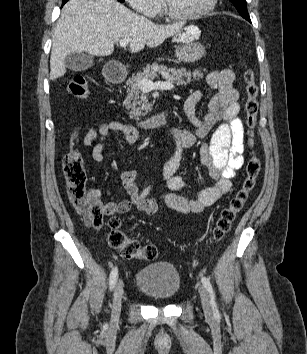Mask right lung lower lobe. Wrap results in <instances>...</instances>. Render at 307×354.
<instances>
[{"instance_id":"1","label":"right lung lower lobe","mask_w":307,"mask_h":354,"mask_svg":"<svg viewBox=\"0 0 307 354\" xmlns=\"http://www.w3.org/2000/svg\"><path fill=\"white\" fill-rule=\"evenodd\" d=\"M68 0H62V6L67 2Z\"/></svg>"}]
</instances>
